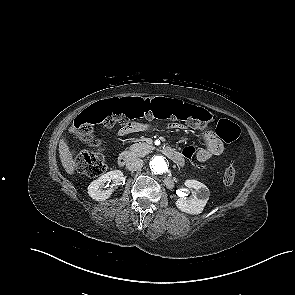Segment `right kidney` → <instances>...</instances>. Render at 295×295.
Segmentation results:
<instances>
[{
	"mask_svg": "<svg viewBox=\"0 0 295 295\" xmlns=\"http://www.w3.org/2000/svg\"><path fill=\"white\" fill-rule=\"evenodd\" d=\"M122 180L123 173L120 170H113L102 174L100 177L90 183V185L88 186V194L92 199L96 201L106 200L111 196L113 192L112 188L114 186L120 185ZM110 181L113 182L111 188L102 189V187Z\"/></svg>",
	"mask_w": 295,
	"mask_h": 295,
	"instance_id": "ca27d5eb",
	"label": "right kidney"
}]
</instances>
